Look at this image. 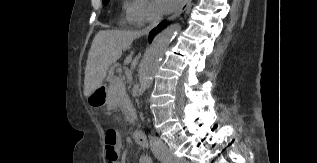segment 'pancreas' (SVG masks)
Listing matches in <instances>:
<instances>
[{"mask_svg":"<svg viewBox=\"0 0 317 163\" xmlns=\"http://www.w3.org/2000/svg\"><path fill=\"white\" fill-rule=\"evenodd\" d=\"M107 79L109 81L107 105L114 110L119 108L122 111L125 120L129 123H134L136 120V110L126 92L123 80L114 76L112 71L109 72ZM117 80H119L121 84H117Z\"/></svg>","mask_w":317,"mask_h":163,"instance_id":"pancreas-1","label":"pancreas"}]
</instances>
